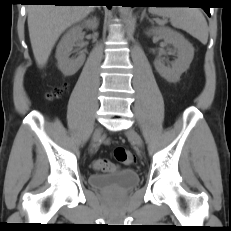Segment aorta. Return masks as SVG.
<instances>
[{"mask_svg": "<svg viewBox=\"0 0 231 231\" xmlns=\"http://www.w3.org/2000/svg\"><path fill=\"white\" fill-rule=\"evenodd\" d=\"M120 10L124 15H128L130 12V7H122L120 6Z\"/></svg>", "mask_w": 231, "mask_h": 231, "instance_id": "aorta-1", "label": "aorta"}]
</instances>
